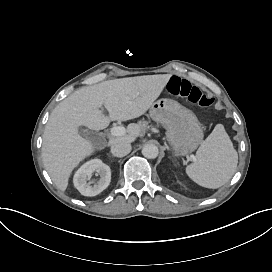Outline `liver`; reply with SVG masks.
<instances>
[{"label": "liver", "instance_id": "1", "mask_svg": "<svg viewBox=\"0 0 272 272\" xmlns=\"http://www.w3.org/2000/svg\"><path fill=\"white\" fill-rule=\"evenodd\" d=\"M170 74L146 75L103 81L82 87L62 100L50 114L43 133L42 159L52 181L65 191L72 170L93 151L92 143L79 134L78 128L102 130L111 121H127L143 115L159 97ZM104 105L109 116L99 108ZM141 126L131 123L127 134L112 137L117 141L133 142Z\"/></svg>", "mask_w": 272, "mask_h": 272}]
</instances>
